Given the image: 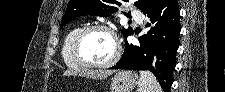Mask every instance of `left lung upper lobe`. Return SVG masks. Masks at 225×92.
Masks as SVG:
<instances>
[{"instance_id": "left-lung-upper-lobe-1", "label": "left lung upper lobe", "mask_w": 225, "mask_h": 92, "mask_svg": "<svg viewBox=\"0 0 225 92\" xmlns=\"http://www.w3.org/2000/svg\"><path fill=\"white\" fill-rule=\"evenodd\" d=\"M160 1L161 0H136L134 5L145 13L155 7ZM122 2H128V0H70L62 18L60 29L77 16H109L118 11L116 6H120ZM122 33L126 38L133 34V30L131 28L122 29Z\"/></svg>"}]
</instances>
